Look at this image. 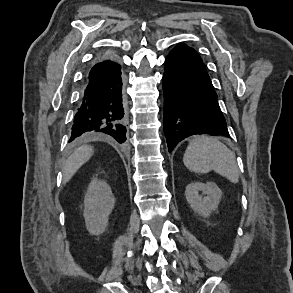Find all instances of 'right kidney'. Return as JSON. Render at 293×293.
<instances>
[{"label":"right kidney","mask_w":293,"mask_h":293,"mask_svg":"<svg viewBox=\"0 0 293 293\" xmlns=\"http://www.w3.org/2000/svg\"><path fill=\"white\" fill-rule=\"evenodd\" d=\"M115 198L106 181L93 179L84 199V219L88 232L99 236L108 226Z\"/></svg>","instance_id":"1"}]
</instances>
